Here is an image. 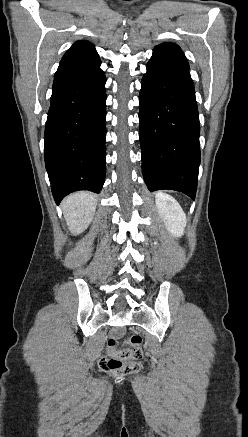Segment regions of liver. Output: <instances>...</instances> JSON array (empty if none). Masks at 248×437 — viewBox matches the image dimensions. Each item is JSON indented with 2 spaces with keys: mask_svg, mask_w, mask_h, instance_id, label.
Here are the masks:
<instances>
[{
  "mask_svg": "<svg viewBox=\"0 0 248 437\" xmlns=\"http://www.w3.org/2000/svg\"><path fill=\"white\" fill-rule=\"evenodd\" d=\"M96 205V197L90 192H77L63 201V215L73 235H79L88 228L94 217Z\"/></svg>",
  "mask_w": 248,
  "mask_h": 437,
  "instance_id": "obj_1",
  "label": "liver"
}]
</instances>
